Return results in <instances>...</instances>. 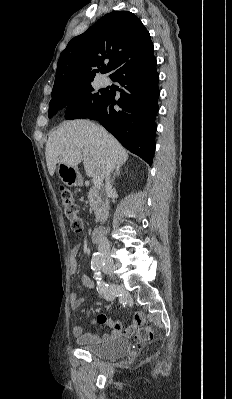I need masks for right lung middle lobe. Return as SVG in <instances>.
I'll return each instance as SVG.
<instances>
[{
	"label": "right lung middle lobe",
	"mask_w": 232,
	"mask_h": 399,
	"mask_svg": "<svg viewBox=\"0 0 232 399\" xmlns=\"http://www.w3.org/2000/svg\"><path fill=\"white\" fill-rule=\"evenodd\" d=\"M93 91L94 89L89 82L81 84L69 92L51 95L49 118L67 105L66 119H72L80 113L96 109L104 99L106 92H102L99 95L98 93H93Z\"/></svg>",
	"instance_id": "dd1d6c3e"
}]
</instances>
